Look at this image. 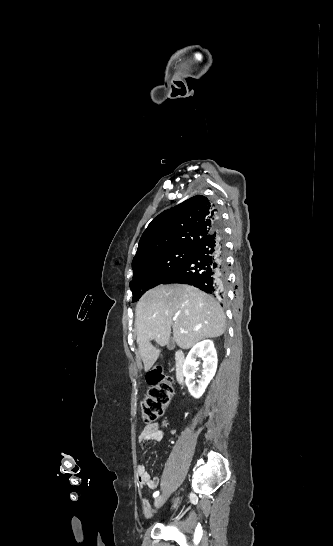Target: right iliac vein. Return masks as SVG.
I'll use <instances>...</instances> for the list:
<instances>
[{
    "instance_id": "1",
    "label": "right iliac vein",
    "mask_w": 333,
    "mask_h": 546,
    "mask_svg": "<svg viewBox=\"0 0 333 546\" xmlns=\"http://www.w3.org/2000/svg\"><path fill=\"white\" fill-rule=\"evenodd\" d=\"M168 493H164L162 495H160L159 497H157L154 501V506L155 508H159L164 502L165 500L168 498Z\"/></svg>"
}]
</instances>
